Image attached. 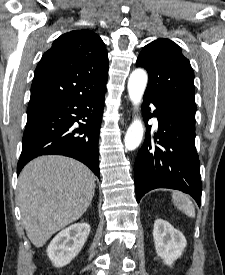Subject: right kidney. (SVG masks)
Listing matches in <instances>:
<instances>
[{"instance_id": "1", "label": "right kidney", "mask_w": 225, "mask_h": 275, "mask_svg": "<svg viewBox=\"0 0 225 275\" xmlns=\"http://www.w3.org/2000/svg\"><path fill=\"white\" fill-rule=\"evenodd\" d=\"M90 226L88 223H76L59 232L50 242L47 255L55 267L69 264L83 248Z\"/></svg>"}]
</instances>
